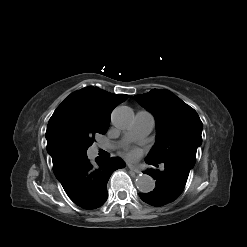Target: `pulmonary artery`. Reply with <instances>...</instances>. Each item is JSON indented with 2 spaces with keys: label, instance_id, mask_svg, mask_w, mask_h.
<instances>
[{
  "label": "pulmonary artery",
  "instance_id": "obj_1",
  "mask_svg": "<svg viewBox=\"0 0 247 247\" xmlns=\"http://www.w3.org/2000/svg\"><path fill=\"white\" fill-rule=\"evenodd\" d=\"M155 124L154 116L146 111L140 110L135 115V120L131 128L125 133L122 142H129L147 136ZM164 167L161 166V169Z\"/></svg>",
  "mask_w": 247,
  "mask_h": 247
}]
</instances>
